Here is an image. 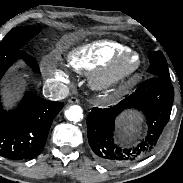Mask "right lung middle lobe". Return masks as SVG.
<instances>
[{
    "label": "right lung middle lobe",
    "mask_w": 183,
    "mask_h": 183,
    "mask_svg": "<svg viewBox=\"0 0 183 183\" xmlns=\"http://www.w3.org/2000/svg\"><path fill=\"white\" fill-rule=\"evenodd\" d=\"M39 32L35 25L13 28L0 42V59L20 51Z\"/></svg>",
    "instance_id": "right-lung-middle-lobe-1"
}]
</instances>
